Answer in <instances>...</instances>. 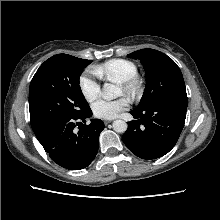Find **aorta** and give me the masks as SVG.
Here are the masks:
<instances>
[{"label": "aorta", "instance_id": "obj_1", "mask_svg": "<svg viewBox=\"0 0 220 220\" xmlns=\"http://www.w3.org/2000/svg\"><path fill=\"white\" fill-rule=\"evenodd\" d=\"M120 95V89L109 83H105L103 85L102 97L105 100H112L115 99ZM127 123L123 120H115L113 122V129L117 133H124L127 130Z\"/></svg>", "mask_w": 220, "mask_h": 220}]
</instances>
